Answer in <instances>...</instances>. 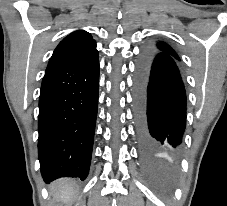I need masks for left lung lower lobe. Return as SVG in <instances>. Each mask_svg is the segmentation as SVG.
Segmentation results:
<instances>
[{"label":"left lung lower lobe","instance_id":"obj_1","mask_svg":"<svg viewBox=\"0 0 227 206\" xmlns=\"http://www.w3.org/2000/svg\"><path fill=\"white\" fill-rule=\"evenodd\" d=\"M136 135L143 150L176 155L186 125V93L174 58L143 52L134 80Z\"/></svg>","mask_w":227,"mask_h":206}]
</instances>
